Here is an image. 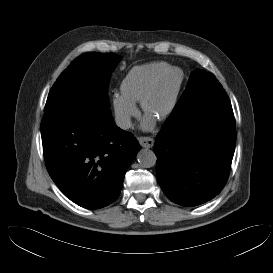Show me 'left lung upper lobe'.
Returning a JSON list of instances; mask_svg holds the SVG:
<instances>
[{
	"instance_id": "left-lung-upper-lobe-1",
	"label": "left lung upper lobe",
	"mask_w": 273,
	"mask_h": 273,
	"mask_svg": "<svg viewBox=\"0 0 273 273\" xmlns=\"http://www.w3.org/2000/svg\"><path fill=\"white\" fill-rule=\"evenodd\" d=\"M207 85H213L218 87V89L216 90H218L219 93L225 92V90L222 88V85L218 82V80L212 73H208L201 69H196L195 71H193L192 75L189 78L186 90L180 97L175 108H179L181 106H184L186 103L191 102L194 97H196V95L200 93L209 92L212 87H209Z\"/></svg>"
}]
</instances>
